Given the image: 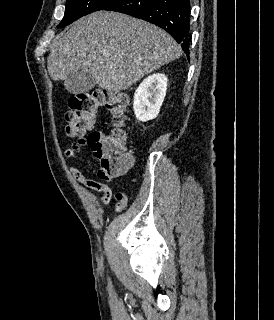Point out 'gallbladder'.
<instances>
[{
    "label": "gallbladder",
    "mask_w": 274,
    "mask_h": 320,
    "mask_svg": "<svg viewBox=\"0 0 274 320\" xmlns=\"http://www.w3.org/2000/svg\"><path fill=\"white\" fill-rule=\"evenodd\" d=\"M64 83L68 95H83L96 86L95 78L87 72V68H71Z\"/></svg>",
    "instance_id": "bac80fb5"
}]
</instances>
